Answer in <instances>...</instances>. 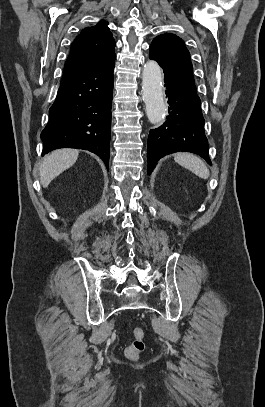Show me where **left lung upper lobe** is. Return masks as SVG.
Here are the masks:
<instances>
[{
    "instance_id": "obj_1",
    "label": "left lung upper lobe",
    "mask_w": 265,
    "mask_h": 407,
    "mask_svg": "<svg viewBox=\"0 0 265 407\" xmlns=\"http://www.w3.org/2000/svg\"><path fill=\"white\" fill-rule=\"evenodd\" d=\"M150 59L156 60L164 74H170L195 87L190 54L184 41L174 34H161L150 45Z\"/></svg>"
}]
</instances>
